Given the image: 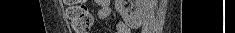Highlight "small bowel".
Masks as SVG:
<instances>
[{"label": "small bowel", "instance_id": "1", "mask_svg": "<svg viewBox=\"0 0 235 33\" xmlns=\"http://www.w3.org/2000/svg\"><path fill=\"white\" fill-rule=\"evenodd\" d=\"M98 17L107 19L111 14L110 2L108 0H98ZM114 33H130V28L124 22H118Z\"/></svg>", "mask_w": 235, "mask_h": 33}]
</instances>
